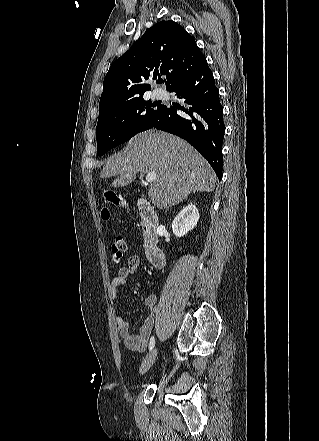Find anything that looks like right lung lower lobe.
Masks as SVG:
<instances>
[{"instance_id": "obj_1", "label": "right lung lower lobe", "mask_w": 319, "mask_h": 441, "mask_svg": "<svg viewBox=\"0 0 319 441\" xmlns=\"http://www.w3.org/2000/svg\"><path fill=\"white\" fill-rule=\"evenodd\" d=\"M168 91L175 92L177 98L185 99L190 106L188 109L164 106L153 128L185 139L209 162L221 179L225 133L223 108L206 59L175 82ZM177 108L185 114H177Z\"/></svg>"}]
</instances>
